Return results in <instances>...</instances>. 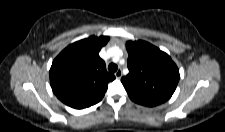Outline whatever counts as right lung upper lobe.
I'll use <instances>...</instances> for the list:
<instances>
[{
	"label": "right lung upper lobe",
	"mask_w": 225,
	"mask_h": 132,
	"mask_svg": "<svg viewBox=\"0 0 225 132\" xmlns=\"http://www.w3.org/2000/svg\"><path fill=\"white\" fill-rule=\"evenodd\" d=\"M109 37L91 36L67 46L53 61L50 85L66 105L83 109L98 103L115 76L105 70L99 51Z\"/></svg>",
	"instance_id": "right-lung-upper-lobe-1"
}]
</instances>
